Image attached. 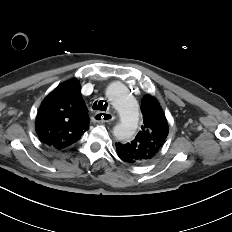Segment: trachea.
<instances>
[{
    "mask_svg": "<svg viewBox=\"0 0 232 232\" xmlns=\"http://www.w3.org/2000/svg\"><path fill=\"white\" fill-rule=\"evenodd\" d=\"M107 107H108V103L104 100L95 101L93 104L94 110L106 111Z\"/></svg>",
    "mask_w": 232,
    "mask_h": 232,
    "instance_id": "1",
    "label": "trachea"
}]
</instances>
